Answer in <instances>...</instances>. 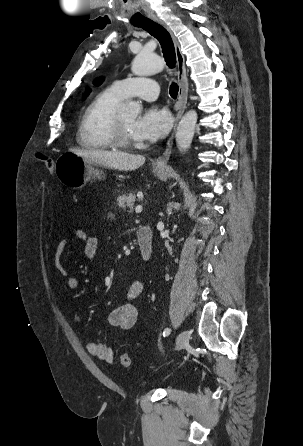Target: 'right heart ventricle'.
Instances as JSON below:
<instances>
[{
  "instance_id": "1",
  "label": "right heart ventricle",
  "mask_w": 303,
  "mask_h": 446,
  "mask_svg": "<svg viewBox=\"0 0 303 446\" xmlns=\"http://www.w3.org/2000/svg\"><path fill=\"white\" fill-rule=\"evenodd\" d=\"M113 86L98 93L86 107L78 126L77 142L86 149L114 148L113 123L124 101Z\"/></svg>"
}]
</instances>
